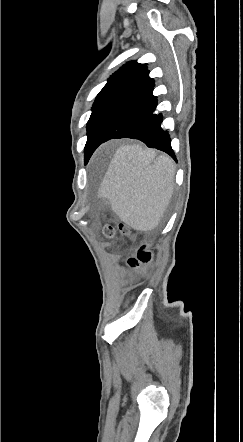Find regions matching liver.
<instances>
[{
    "instance_id": "6515ba94",
    "label": "liver",
    "mask_w": 243,
    "mask_h": 442,
    "mask_svg": "<svg viewBox=\"0 0 243 442\" xmlns=\"http://www.w3.org/2000/svg\"><path fill=\"white\" fill-rule=\"evenodd\" d=\"M173 160L140 144L120 146L103 178L98 196L106 198L122 222L137 231L155 229L172 198Z\"/></svg>"
}]
</instances>
